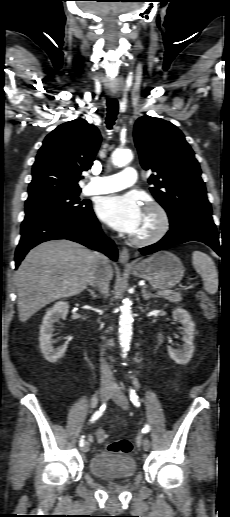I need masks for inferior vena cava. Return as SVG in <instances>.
I'll return each instance as SVG.
<instances>
[{
	"label": "inferior vena cava",
	"mask_w": 230,
	"mask_h": 517,
	"mask_svg": "<svg viewBox=\"0 0 230 517\" xmlns=\"http://www.w3.org/2000/svg\"><path fill=\"white\" fill-rule=\"evenodd\" d=\"M97 256L100 260V265L97 269V271L94 273V275L90 279V284L92 286H97L101 293L105 296H107L109 291V282H110V276L107 273V267H108V259L106 256H104L101 253H97ZM104 350L101 352V377L103 380H112L113 374L111 372V369L109 368V365L107 364L106 360L103 358Z\"/></svg>",
	"instance_id": "obj_1"
}]
</instances>
